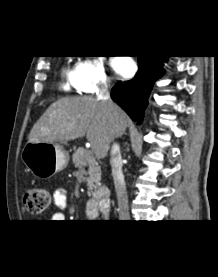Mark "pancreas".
Listing matches in <instances>:
<instances>
[{"label": "pancreas", "instance_id": "cf45deb5", "mask_svg": "<svg viewBox=\"0 0 218 277\" xmlns=\"http://www.w3.org/2000/svg\"><path fill=\"white\" fill-rule=\"evenodd\" d=\"M76 168L88 167L85 173L88 186V195L94 194L100 186L101 170L92 152L79 148L72 156Z\"/></svg>", "mask_w": 218, "mask_h": 277}]
</instances>
